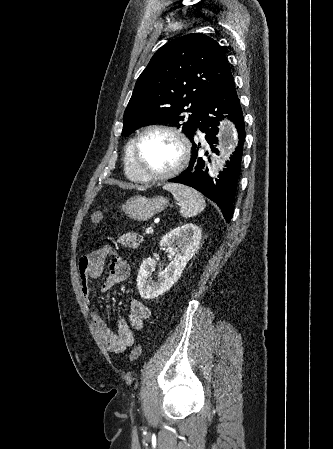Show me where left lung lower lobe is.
<instances>
[{"instance_id":"obj_1","label":"left lung lower lobe","mask_w":333,"mask_h":449,"mask_svg":"<svg viewBox=\"0 0 333 449\" xmlns=\"http://www.w3.org/2000/svg\"><path fill=\"white\" fill-rule=\"evenodd\" d=\"M223 114H228L223 116ZM224 117H228L234 122L238 132V146L226 163V169L218 175L217 179L209 177L208 173H203L202 169L205 161L209 160L210 155L206 152L205 156L200 155L201 143L197 141L195 132L193 139V152L188 168L179 176L169 180V182H177L188 185L200 191L206 197L217 203L220 207L224 218L230 221L233 215V201L236 193L238 177L240 173V165L243 154V144L245 140V129L243 113L238 99L233 76H231L208 101L199 118L197 128L205 134V140L210 144L213 152L217 149L213 144H217V133L219 121ZM197 131V130H196Z\"/></svg>"}]
</instances>
